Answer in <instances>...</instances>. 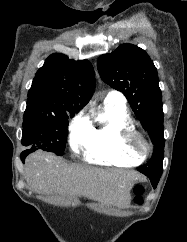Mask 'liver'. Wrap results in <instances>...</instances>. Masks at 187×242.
I'll return each instance as SVG.
<instances>
[{
  "label": "liver",
  "instance_id": "6515ba94",
  "mask_svg": "<svg viewBox=\"0 0 187 242\" xmlns=\"http://www.w3.org/2000/svg\"><path fill=\"white\" fill-rule=\"evenodd\" d=\"M24 178L37 192L83 196L108 206L125 208L130 204V191L139 174L67 163L63 158L39 151L26 158Z\"/></svg>",
  "mask_w": 187,
  "mask_h": 242
}]
</instances>
